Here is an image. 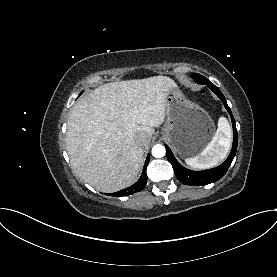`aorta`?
Returning <instances> with one entry per match:
<instances>
[{"instance_id": "aorta-1", "label": "aorta", "mask_w": 277, "mask_h": 277, "mask_svg": "<svg viewBox=\"0 0 277 277\" xmlns=\"http://www.w3.org/2000/svg\"><path fill=\"white\" fill-rule=\"evenodd\" d=\"M165 147L161 144H156L152 148V155L156 158H161L165 155Z\"/></svg>"}]
</instances>
